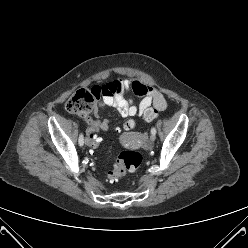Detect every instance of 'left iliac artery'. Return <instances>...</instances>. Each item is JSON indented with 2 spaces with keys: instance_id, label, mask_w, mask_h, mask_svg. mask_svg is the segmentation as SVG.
I'll return each instance as SVG.
<instances>
[{
  "instance_id": "44dca946",
  "label": "left iliac artery",
  "mask_w": 248,
  "mask_h": 248,
  "mask_svg": "<svg viewBox=\"0 0 248 248\" xmlns=\"http://www.w3.org/2000/svg\"><path fill=\"white\" fill-rule=\"evenodd\" d=\"M151 134H154V135L156 134V129H155V127H152V128H151Z\"/></svg>"
}]
</instances>
